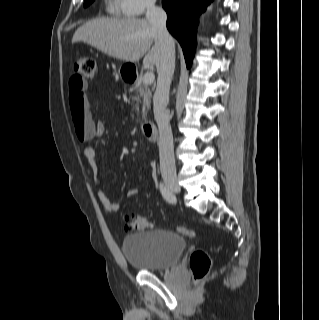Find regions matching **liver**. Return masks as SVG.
Listing matches in <instances>:
<instances>
[{
  "mask_svg": "<svg viewBox=\"0 0 319 320\" xmlns=\"http://www.w3.org/2000/svg\"><path fill=\"white\" fill-rule=\"evenodd\" d=\"M76 42L87 43L108 56L131 63L143 56L144 65L158 68L161 63L158 34L146 19H95L75 31L72 43Z\"/></svg>",
  "mask_w": 319,
  "mask_h": 320,
  "instance_id": "1",
  "label": "liver"
}]
</instances>
